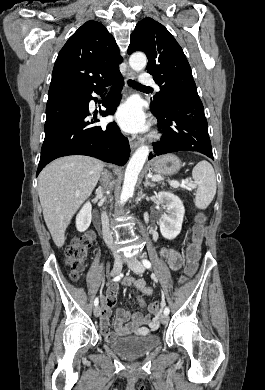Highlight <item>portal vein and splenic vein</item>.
Instances as JSON below:
<instances>
[{"mask_svg":"<svg viewBox=\"0 0 265 390\" xmlns=\"http://www.w3.org/2000/svg\"><path fill=\"white\" fill-rule=\"evenodd\" d=\"M161 180H163V178L161 176H153L152 177V181H161ZM170 185L173 187L181 186V187L189 188V189L195 188V185L192 183H189L187 180L183 181L181 184H179L178 181H176V180H171Z\"/></svg>","mask_w":265,"mask_h":390,"instance_id":"18ae733b","label":"portal vein and splenic vein"}]
</instances>
